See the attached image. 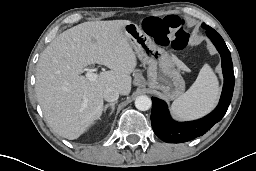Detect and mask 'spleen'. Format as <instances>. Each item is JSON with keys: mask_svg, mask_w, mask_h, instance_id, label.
<instances>
[{"mask_svg": "<svg viewBox=\"0 0 256 171\" xmlns=\"http://www.w3.org/2000/svg\"><path fill=\"white\" fill-rule=\"evenodd\" d=\"M219 94L217 77L212 68L205 64L192 86L174 100L171 111L184 120L201 117L216 105Z\"/></svg>", "mask_w": 256, "mask_h": 171, "instance_id": "obj_1", "label": "spleen"}]
</instances>
